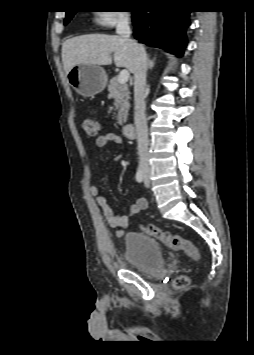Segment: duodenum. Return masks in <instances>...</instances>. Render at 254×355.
I'll list each match as a JSON object with an SVG mask.
<instances>
[{
	"instance_id": "410a0bca",
	"label": "duodenum",
	"mask_w": 254,
	"mask_h": 355,
	"mask_svg": "<svg viewBox=\"0 0 254 355\" xmlns=\"http://www.w3.org/2000/svg\"><path fill=\"white\" fill-rule=\"evenodd\" d=\"M134 125L133 124H125L123 126V134L126 138L131 139L134 137Z\"/></svg>"
}]
</instances>
